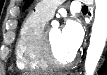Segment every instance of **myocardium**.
Returning a JSON list of instances; mask_svg holds the SVG:
<instances>
[{
    "instance_id": "myocardium-1",
    "label": "myocardium",
    "mask_w": 107,
    "mask_h": 75,
    "mask_svg": "<svg viewBox=\"0 0 107 75\" xmlns=\"http://www.w3.org/2000/svg\"><path fill=\"white\" fill-rule=\"evenodd\" d=\"M41 45H42L43 57L51 68L67 69L75 64L76 62L75 54L67 61H61L58 59L49 36V28L43 30L41 37Z\"/></svg>"
}]
</instances>
